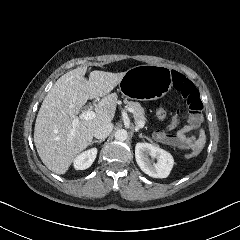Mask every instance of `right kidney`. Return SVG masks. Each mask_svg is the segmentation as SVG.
<instances>
[{
  "mask_svg": "<svg viewBox=\"0 0 240 240\" xmlns=\"http://www.w3.org/2000/svg\"><path fill=\"white\" fill-rule=\"evenodd\" d=\"M97 152V147H91L76 155L72 160L73 169L76 171L88 169L96 159Z\"/></svg>",
  "mask_w": 240,
  "mask_h": 240,
  "instance_id": "obj_1",
  "label": "right kidney"
}]
</instances>
